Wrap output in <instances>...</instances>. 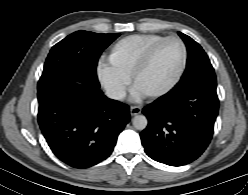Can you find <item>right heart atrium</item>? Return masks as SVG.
<instances>
[{
	"label": "right heart atrium",
	"mask_w": 248,
	"mask_h": 195,
	"mask_svg": "<svg viewBox=\"0 0 248 195\" xmlns=\"http://www.w3.org/2000/svg\"><path fill=\"white\" fill-rule=\"evenodd\" d=\"M99 78L103 86L109 91L123 92L127 88V78L116 72L111 64L100 67Z\"/></svg>",
	"instance_id": "1"
}]
</instances>
